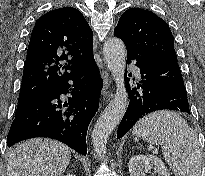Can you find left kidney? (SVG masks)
I'll return each instance as SVG.
<instances>
[{"label": "left kidney", "instance_id": "5707ae66", "mask_svg": "<svg viewBox=\"0 0 205 176\" xmlns=\"http://www.w3.org/2000/svg\"><path fill=\"white\" fill-rule=\"evenodd\" d=\"M130 176H145V172L153 169L158 176H170L163 161L154 155H134L128 163Z\"/></svg>", "mask_w": 205, "mask_h": 176}]
</instances>
